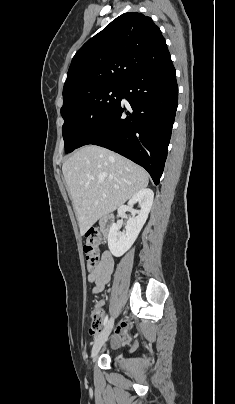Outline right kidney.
<instances>
[{"label":"right kidney","instance_id":"1","mask_svg":"<svg viewBox=\"0 0 235 404\" xmlns=\"http://www.w3.org/2000/svg\"><path fill=\"white\" fill-rule=\"evenodd\" d=\"M154 193L151 189L144 188L133 195L127 206H122L118 212V217L125 211L132 214L125 225V231L120 232L121 225L113 224L108 234V247L115 257L122 256L127 252L137 239L142 227L144 226L148 214L153 204ZM139 203L141 209L134 210V204ZM137 214V216H135Z\"/></svg>","mask_w":235,"mask_h":404}]
</instances>
